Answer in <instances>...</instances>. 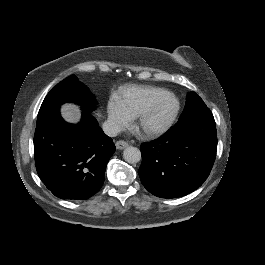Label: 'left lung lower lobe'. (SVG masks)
<instances>
[{"mask_svg":"<svg viewBox=\"0 0 265 265\" xmlns=\"http://www.w3.org/2000/svg\"><path fill=\"white\" fill-rule=\"evenodd\" d=\"M216 150V124L209 109L180 118L160 138L142 143L141 182L157 197L185 196L207 179Z\"/></svg>","mask_w":265,"mask_h":265,"instance_id":"obj_1","label":"left lung lower lobe"}]
</instances>
